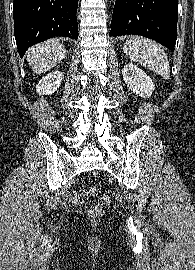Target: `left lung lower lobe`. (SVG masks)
Masks as SVG:
<instances>
[{
	"label": "left lung lower lobe",
	"instance_id": "obj_1",
	"mask_svg": "<svg viewBox=\"0 0 195 270\" xmlns=\"http://www.w3.org/2000/svg\"><path fill=\"white\" fill-rule=\"evenodd\" d=\"M177 20V0H116L109 35H141L174 51Z\"/></svg>",
	"mask_w": 195,
	"mask_h": 270
}]
</instances>
